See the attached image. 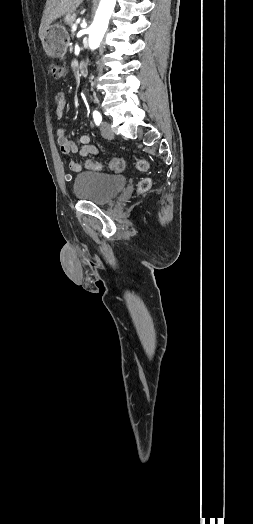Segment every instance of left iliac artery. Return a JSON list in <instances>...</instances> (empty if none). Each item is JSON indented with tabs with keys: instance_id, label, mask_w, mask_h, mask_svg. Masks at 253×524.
I'll list each match as a JSON object with an SVG mask.
<instances>
[{
	"instance_id": "obj_1",
	"label": "left iliac artery",
	"mask_w": 253,
	"mask_h": 524,
	"mask_svg": "<svg viewBox=\"0 0 253 524\" xmlns=\"http://www.w3.org/2000/svg\"><path fill=\"white\" fill-rule=\"evenodd\" d=\"M93 118H94L95 124L100 125L102 121V117H101V114L97 110L93 111Z\"/></svg>"
}]
</instances>
